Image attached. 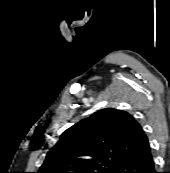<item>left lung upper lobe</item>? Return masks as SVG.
<instances>
[{"label": "left lung upper lobe", "instance_id": "1", "mask_svg": "<svg viewBox=\"0 0 170 173\" xmlns=\"http://www.w3.org/2000/svg\"><path fill=\"white\" fill-rule=\"evenodd\" d=\"M148 146L132 115L106 108L64 131L37 173H114L129 156Z\"/></svg>", "mask_w": 170, "mask_h": 173}]
</instances>
